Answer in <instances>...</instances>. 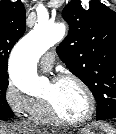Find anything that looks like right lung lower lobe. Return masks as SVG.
Listing matches in <instances>:
<instances>
[{"instance_id": "1", "label": "right lung lower lobe", "mask_w": 116, "mask_h": 134, "mask_svg": "<svg viewBox=\"0 0 116 134\" xmlns=\"http://www.w3.org/2000/svg\"><path fill=\"white\" fill-rule=\"evenodd\" d=\"M14 116V114L12 113L9 117H7V118H10V117H13ZM2 119V118H1ZM3 119H6V118H3Z\"/></svg>"}]
</instances>
